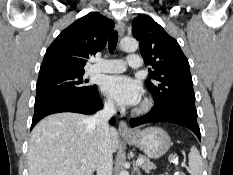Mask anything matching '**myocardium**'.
Masks as SVG:
<instances>
[{"mask_svg": "<svg viewBox=\"0 0 233 175\" xmlns=\"http://www.w3.org/2000/svg\"><path fill=\"white\" fill-rule=\"evenodd\" d=\"M152 105L151 100L145 99L140 106L136 109V112L141 113L147 111Z\"/></svg>", "mask_w": 233, "mask_h": 175, "instance_id": "obj_1", "label": "myocardium"}]
</instances>
